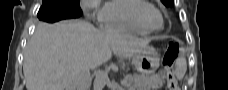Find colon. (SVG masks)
<instances>
[{
  "label": "colon",
  "mask_w": 228,
  "mask_h": 90,
  "mask_svg": "<svg viewBox=\"0 0 228 90\" xmlns=\"http://www.w3.org/2000/svg\"><path fill=\"white\" fill-rule=\"evenodd\" d=\"M179 54V45L176 42H170L167 45L164 57H163V64L167 73L168 79V89L169 90H180V87L176 81L173 65L176 61Z\"/></svg>",
  "instance_id": "colon-1"
}]
</instances>
